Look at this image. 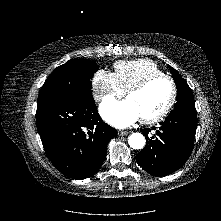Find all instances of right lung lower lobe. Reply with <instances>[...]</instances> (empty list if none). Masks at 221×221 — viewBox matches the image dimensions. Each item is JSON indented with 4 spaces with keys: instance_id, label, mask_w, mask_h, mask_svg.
Returning <instances> with one entry per match:
<instances>
[{
    "instance_id": "1",
    "label": "right lung lower lobe",
    "mask_w": 221,
    "mask_h": 221,
    "mask_svg": "<svg viewBox=\"0 0 221 221\" xmlns=\"http://www.w3.org/2000/svg\"><path fill=\"white\" fill-rule=\"evenodd\" d=\"M36 123L49 160L73 179L88 178L99 169L107 143L117 133L100 118L90 92L38 103Z\"/></svg>"
}]
</instances>
